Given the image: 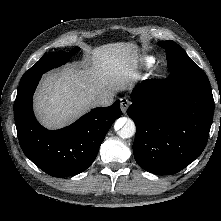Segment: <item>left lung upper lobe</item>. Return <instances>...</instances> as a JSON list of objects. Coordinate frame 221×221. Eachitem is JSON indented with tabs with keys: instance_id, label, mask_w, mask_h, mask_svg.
<instances>
[{
	"instance_id": "left-lung-upper-lobe-1",
	"label": "left lung upper lobe",
	"mask_w": 221,
	"mask_h": 221,
	"mask_svg": "<svg viewBox=\"0 0 221 221\" xmlns=\"http://www.w3.org/2000/svg\"><path fill=\"white\" fill-rule=\"evenodd\" d=\"M159 46L166 51L167 64L170 73L179 71L200 70L186 52L173 41H161Z\"/></svg>"
}]
</instances>
